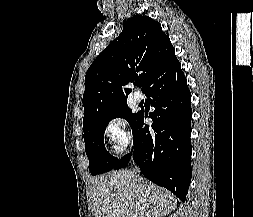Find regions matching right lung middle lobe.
Wrapping results in <instances>:
<instances>
[{
	"label": "right lung middle lobe",
	"mask_w": 253,
	"mask_h": 217,
	"mask_svg": "<svg viewBox=\"0 0 253 217\" xmlns=\"http://www.w3.org/2000/svg\"><path fill=\"white\" fill-rule=\"evenodd\" d=\"M138 114L139 112L132 113L125 102L83 123L85 149L92 175L110 171L118 162V159L111 156L105 149L103 136L108 123L114 118L121 117L132 126Z\"/></svg>",
	"instance_id": "dd1d6c3e"
}]
</instances>
